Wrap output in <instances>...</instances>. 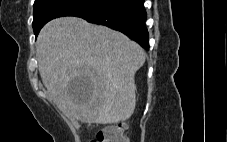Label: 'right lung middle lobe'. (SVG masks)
Wrapping results in <instances>:
<instances>
[{
    "label": "right lung middle lobe",
    "mask_w": 227,
    "mask_h": 142,
    "mask_svg": "<svg viewBox=\"0 0 227 142\" xmlns=\"http://www.w3.org/2000/svg\"><path fill=\"white\" fill-rule=\"evenodd\" d=\"M111 0H35L33 29L37 36L50 20L62 16H77L100 8Z\"/></svg>",
    "instance_id": "dd1d6c3e"
}]
</instances>
